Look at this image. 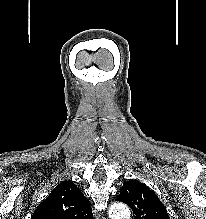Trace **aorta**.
Here are the masks:
<instances>
[{
  "instance_id": "obj_1",
  "label": "aorta",
  "mask_w": 206,
  "mask_h": 219,
  "mask_svg": "<svg viewBox=\"0 0 206 219\" xmlns=\"http://www.w3.org/2000/svg\"><path fill=\"white\" fill-rule=\"evenodd\" d=\"M110 219H130V210L123 203H114L109 208Z\"/></svg>"
}]
</instances>
